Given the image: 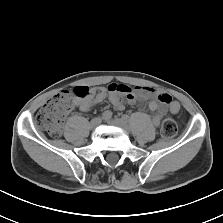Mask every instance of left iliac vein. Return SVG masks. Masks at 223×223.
<instances>
[{"instance_id": "1", "label": "left iliac vein", "mask_w": 223, "mask_h": 223, "mask_svg": "<svg viewBox=\"0 0 223 223\" xmlns=\"http://www.w3.org/2000/svg\"><path fill=\"white\" fill-rule=\"evenodd\" d=\"M109 122L115 126H118L122 129H124L125 131L129 130V126L124 119L114 118L112 120H109Z\"/></svg>"}]
</instances>
